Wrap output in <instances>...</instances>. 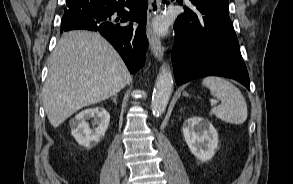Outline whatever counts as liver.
Listing matches in <instances>:
<instances>
[{"label":"liver","instance_id":"obj_1","mask_svg":"<svg viewBox=\"0 0 293 184\" xmlns=\"http://www.w3.org/2000/svg\"><path fill=\"white\" fill-rule=\"evenodd\" d=\"M48 68L43 106L54 128L83 107L116 95L132 79L108 41L86 30L66 33L52 52Z\"/></svg>","mask_w":293,"mask_h":184}]
</instances>
